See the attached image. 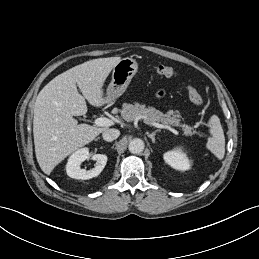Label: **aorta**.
Instances as JSON below:
<instances>
[{"label": "aorta", "mask_w": 259, "mask_h": 259, "mask_svg": "<svg viewBox=\"0 0 259 259\" xmlns=\"http://www.w3.org/2000/svg\"><path fill=\"white\" fill-rule=\"evenodd\" d=\"M144 150V142L140 138H135L129 142V151L133 154H139Z\"/></svg>", "instance_id": "762f6f07"}]
</instances>
